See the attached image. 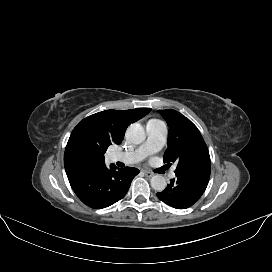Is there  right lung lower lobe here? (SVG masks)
<instances>
[{
  "label": "right lung lower lobe",
  "mask_w": 272,
  "mask_h": 272,
  "mask_svg": "<svg viewBox=\"0 0 272 272\" xmlns=\"http://www.w3.org/2000/svg\"><path fill=\"white\" fill-rule=\"evenodd\" d=\"M138 173L136 168L120 169L111 165V169L104 166L68 179L73 191L84 204L93 209H102L122 199Z\"/></svg>",
  "instance_id": "right-lung-lower-lobe-1"
}]
</instances>
